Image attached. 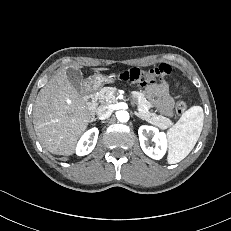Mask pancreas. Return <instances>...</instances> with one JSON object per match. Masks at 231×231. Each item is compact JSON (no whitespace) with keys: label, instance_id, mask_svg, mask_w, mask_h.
<instances>
[{"label":"pancreas","instance_id":"pancreas-1","mask_svg":"<svg viewBox=\"0 0 231 231\" xmlns=\"http://www.w3.org/2000/svg\"><path fill=\"white\" fill-rule=\"evenodd\" d=\"M115 91V87H103L96 93L95 99L100 104L114 103L116 101ZM132 95L138 100V111L144 120L162 129H166L172 125V121L169 118L149 111L152 105L141 92L134 91Z\"/></svg>","mask_w":231,"mask_h":231}]
</instances>
